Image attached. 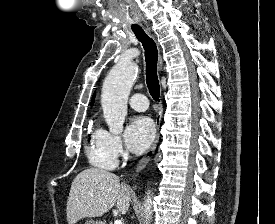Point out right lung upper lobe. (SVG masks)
<instances>
[{"instance_id": "1", "label": "right lung upper lobe", "mask_w": 275, "mask_h": 224, "mask_svg": "<svg viewBox=\"0 0 275 224\" xmlns=\"http://www.w3.org/2000/svg\"><path fill=\"white\" fill-rule=\"evenodd\" d=\"M93 101H94V97H93V99H92L91 105L93 104Z\"/></svg>"}]
</instances>
